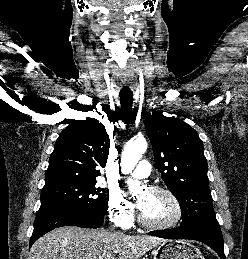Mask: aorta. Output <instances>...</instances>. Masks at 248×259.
<instances>
[{
	"instance_id": "aorta-1",
	"label": "aorta",
	"mask_w": 248,
	"mask_h": 259,
	"mask_svg": "<svg viewBox=\"0 0 248 259\" xmlns=\"http://www.w3.org/2000/svg\"><path fill=\"white\" fill-rule=\"evenodd\" d=\"M146 150L147 141L144 137L140 136L129 141L124 147L121 156L122 171L124 173L132 171ZM127 184L129 190L132 192H135L138 188H140V183L136 180L129 179Z\"/></svg>"
}]
</instances>
